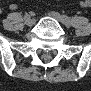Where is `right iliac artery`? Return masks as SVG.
Masks as SVG:
<instances>
[{"label": "right iliac artery", "mask_w": 91, "mask_h": 91, "mask_svg": "<svg viewBox=\"0 0 91 91\" xmlns=\"http://www.w3.org/2000/svg\"><path fill=\"white\" fill-rule=\"evenodd\" d=\"M26 16H29L28 14H26L24 17H26Z\"/></svg>", "instance_id": "1"}]
</instances>
